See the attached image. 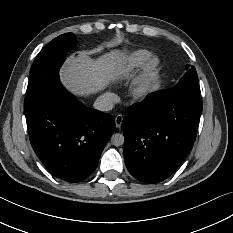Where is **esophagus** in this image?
I'll return each mask as SVG.
<instances>
[{
  "instance_id": "obj_1",
  "label": "esophagus",
  "mask_w": 233,
  "mask_h": 233,
  "mask_svg": "<svg viewBox=\"0 0 233 233\" xmlns=\"http://www.w3.org/2000/svg\"><path fill=\"white\" fill-rule=\"evenodd\" d=\"M122 120H123V116H122L121 114H118V115L115 117V125H116L117 128H120V127H121Z\"/></svg>"
}]
</instances>
